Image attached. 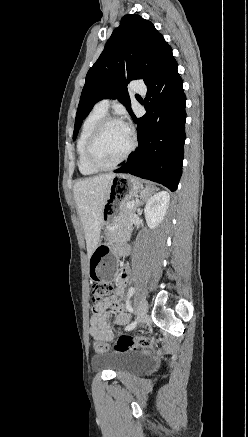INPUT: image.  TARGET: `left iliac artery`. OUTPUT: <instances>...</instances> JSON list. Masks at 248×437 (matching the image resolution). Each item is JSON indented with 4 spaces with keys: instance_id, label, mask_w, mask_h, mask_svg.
I'll return each instance as SVG.
<instances>
[{
    "instance_id": "obj_1",
    "label": "left iliac artery",
    "mask_w": 248,
    "mask_h": 437,
    "mask_svg": "<svg viewBox=\"0 0 248 437\" xmlns=\"http://www.w3.org/2000/svg\"><path fill=\"white\" fill-rule=\"evenodd\" d=\"M134 293H135V288H134V287H131V288L128 290V297H127V301H126V307H127L128 311L131 312V313H133L134 310H133V308H132V306H131V304H130L129 299L131 298V296H133ZM136 324H137V320H135V321H133L131 324L127 325V326L125 327V330H128V331H129V330H132L133 328H135Z\"/></svg>"
}]
</instances>
